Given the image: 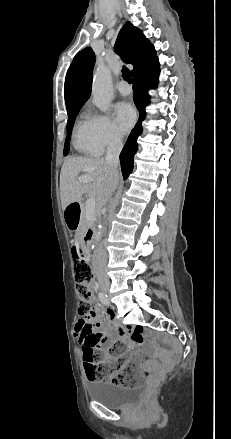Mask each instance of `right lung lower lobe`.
Here are the masks:
<instances>
[{
    "label": "right lung lower lobe",
    "mask_w": 231,
    "mask_h": 439,
    "mask_svg": "<svg viewBox=\"0 0 231 439\" xmlns=\"http://www.w3.org/2000/svg\"><path fill=\"white\" fill-rule=\"evenodd\" d=\"M159 72V61L157 58L149 66L133 75V100L139 111V119L120 154L121 170L124 180L127 179L133 170L134 154L138 147L137 138L142 133V121L146 116L145 107L150 102V96L147 91L157 86Z\"/></svg>",
    "instance_id": "right-lung-lower-lobe-1"
}]
</instances>
